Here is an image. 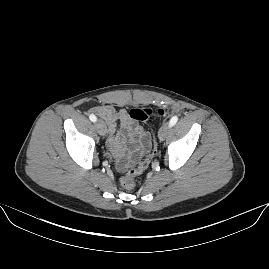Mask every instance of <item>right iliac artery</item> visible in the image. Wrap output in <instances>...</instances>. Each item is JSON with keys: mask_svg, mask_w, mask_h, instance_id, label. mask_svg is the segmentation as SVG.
<instances>
[{"mask_svg": "<svg viewBox=\"0 0 269 269\" xmlns=\"http://www.w3.org/2000/svg\"><path fill=\"white\" fill-rule=\"evenodd\" d=\"M89 118H90V120H91L92 122H96V121H97L96 116L93 115V114H91V115L89 116Z\"/></svg>", "mask_w": 269, "mask_h": 269, "instance_id": "1", "label": "right iliac artery"}]
</instances>
